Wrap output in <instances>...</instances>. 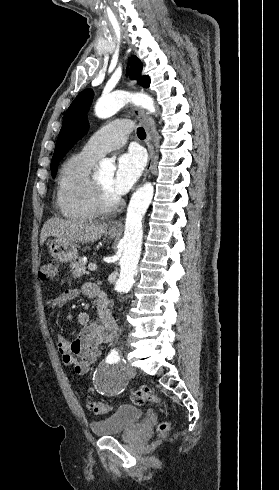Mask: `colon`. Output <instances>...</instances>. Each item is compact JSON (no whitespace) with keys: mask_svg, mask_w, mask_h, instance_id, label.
Segmentation results:
<instances>
[{"mask_svg":"<svg viewBox=\"0 0 279 490\" xmlns=\"http://www.w3.org/2000/svg\"><path fill=\"white\" fill-rule=\"evenodd\" d=\"M58 263L56 260H50L45 263L40 269V276L43 279L57 278ZM131 401L137 405L142 406L145 402H153L159 405H165L164 401L154 392L152 388L146 387L134 391L131 395ZM88 408L96 415H109L114 411V405L107 400H88ZM168 428L167 423L164 421L160 425L161 431H165Z\"/></svg>","mask_w":279,"mask_h":490,"instance_id":"5ec220e1","label":"colon"}]
</instances>
